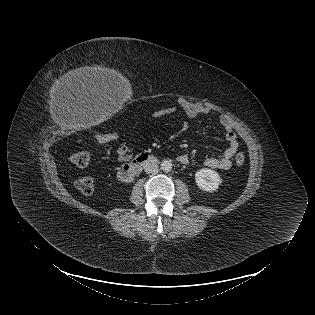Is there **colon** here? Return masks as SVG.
I'll list each match as a JSON object with an SVG mask.
<instances>
[{
    "label": "colon",
    "instance_id": "colon-1",
    "mask_svg": "<svg viewBox=\"0 0 315 315\" xmlns=\"http://www.w3.org/2000/svg\"><path fill=\"white\" fill-rule=\"evenodd\" d=\"M98 141L106 143L111 142L115 139L113 134H101L97 136ZM91 159V155L86 150L75 151L71 154V162L78 167H86ZM245 162V156L243 153H238L235 157V163L238 166L243 165ZM75 186L77 189L85 194L89 195L94 191V180L90 176H81L75 180Z\"/></svg>",
    "mask_w": 315,
    "mask_h": 315
}]
</instances>
